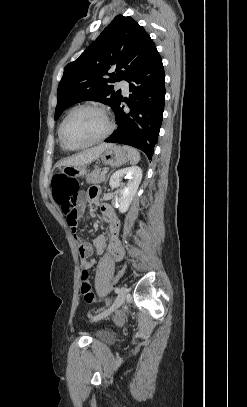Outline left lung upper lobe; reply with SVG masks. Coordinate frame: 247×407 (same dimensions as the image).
<instances>
[{
    "instance_id": "obj_1",
    "label": "left lung upper lobe",
    "mask_w": 247,
    "mask_h": 407,
    "mask_svg": "<svg viewBox=\"0 0 247 407\" xmlns=\"http://www.w3.org/2000/svg\"><path fill=\"white\" fill-rule=\"evenodd\" d=\"M155 49L142 26L129 16L117 15L82 55L65 67L57 91L55 120L83 100L103 102L114 110L122 96L109 83L128 81Z\"/></svg>"
}]
</instances>
